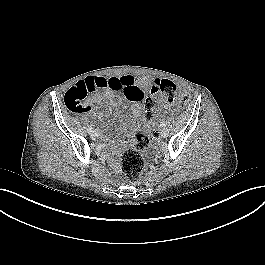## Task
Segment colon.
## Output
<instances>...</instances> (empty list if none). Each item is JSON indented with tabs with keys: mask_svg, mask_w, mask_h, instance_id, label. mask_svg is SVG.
<instances>
[{
	"mask_svg": "<svg viewBox=\"0 0 265 265\" xmlns=\"http://www.w3.org/2000/svg\"><path fill=\"white\" fill-rule=\"evenodd\" d=\"M97 88V83L90 79L77 83L64 96L66 107L74 113L83 112L85 109L84 101L88 94L97 90ZM152 93L156 95L154 98L146 96L142 102L144 108L143 120L146 124L154 121L158 109L165 108L175 101H179L182 104L188 101V97L181 94L177 86L167 79L155 81L152 87ZM152 142L153 135L151 131L143 129L136 135L133 147L122 154L121 167L131 182H136L140 179L144 168L142 153L150 149Z\"/></svg>",
	"mask_w": 265,
	"mask_h": 265,
	"instance_id": "obj_1",
	"label": "colon"
}]
</instances>
